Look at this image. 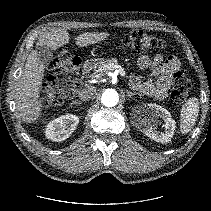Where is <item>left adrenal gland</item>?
<instances>
[{"label": "left adrenal gland", "mask_w": 211, "mask_h": 211, "mask_svg": "<svg viewBox=\"0 0 211 211\" xmlns=\"http://www.w3.org/2000/svg\"><path fill=\"white\" fill-rule=\"evenodd\" d=\"M136 94H138V93L127 91V96H128V97H132V96H134V95H136Z\"/></svg>", "instance_id": "obj_1"}]
</instances>
